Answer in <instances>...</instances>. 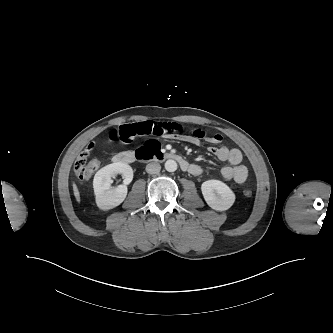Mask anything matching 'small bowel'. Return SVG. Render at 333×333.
I'll use <instances>...</instances> for the list:
<instances>
[{
  "instance_id": "small-bowel-1",
  "label": "small bowel",
  "mask_w": 333,
  "mask_h": 333,
  "mask_svg": "<svg viewBox=\"0 0 333 333\" xmlns=\"http://www.w3.org/2000/svg\"><path fill=\"white\" fill-rule=\"evenodd\" d=\"M158 135L170 139H176L199 146L201 139L218 144L212 146L209 151L221 161H227L229 165L222 167L220 173L225 180H234L236 183H244L248 177V169L242 162V153L235 148H228L221 144L222 137L219 134H208L205 130L182 125L176 122H155L145 121L132 124L120 125L109 133L112 141L120 140L124 143H131L137 137L145 135ZM190 171L193 175H200L203 168L200 165L192 164Z\"/></svg>"
}]
</instances>
